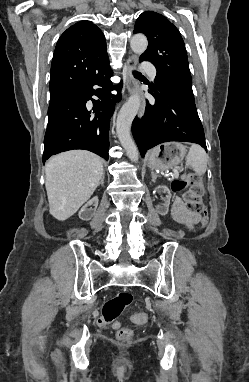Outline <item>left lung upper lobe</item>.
<instances>
[{
    "instance_id": "left-lung-upper-lobe-1",
    "label": "left lung upper lobe",
    "mask_w": 249,
    "mask_h": 382,
    "mask_svg": "<svg viewBox=\"0 0 249 382\" xmlns=\"http://www.w3.org/2000/svg\"><path fill=\"white\" fill-rule=\"evenodd\" d=\"M133 33H143L148 38V48L140 60L150 61L157 70L153 87L194 100L187 52L178 29L163 15L146 11L138 17Z\"/></svg>"
}]
</instances>
